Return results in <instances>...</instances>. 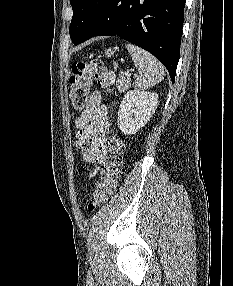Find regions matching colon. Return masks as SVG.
<instances>
[{"mask_svg": "<svg viewBox=\"0 0 233 286\" xmlns=\"http://www.w3.org/2000/svg\"><path fill=\"white\" fill-rule=\"evenodd\" d=\"M70 100L77 110L85 108L88 94L93 80L108 93L114 91V74L100 60L90 62H74L71 66ZM108 155L101 166V177L88 204L89 210H94L107 201L117 187L120 174L122 155L124 153L123 141L117 134H113L106 143Z\"/></svg>", "mask_w": 233, "mask_h": 286, "instance_id": "obj_1", "label": "colon"}]
</instances>
